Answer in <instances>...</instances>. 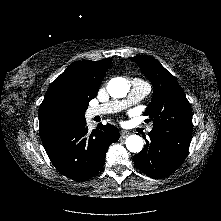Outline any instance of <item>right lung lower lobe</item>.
Here are the masks:
<instances>
[{"instance_id": "1", "label": "right lung lower lobe", "mask_w": 221, "mask_h": 221, "mask_svg": "<svg viewBox=\"0 0 221 221\" xmlns=\"http://www.w3.org/2000/svg\"><path fill=\"white\" fill-rule=\"evenodd\" d=\"M119 139V130L110 124H98L89 132L86 119L60 137L44 144L55 168L76 181L93 177L104 165L108 147Z\"/></svg>"}]
</instances>
